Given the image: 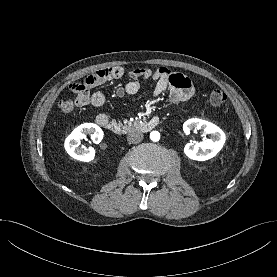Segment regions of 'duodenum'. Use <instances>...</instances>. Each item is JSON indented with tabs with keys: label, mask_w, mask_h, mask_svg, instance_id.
<instances>
[{
	"label": "duodenum",
	"mask_w": 277,
	"mask_h": 277,
	"mask_svg": "<svg viewBox=\"0 0 277 277\" xmlns=\"http://www.w3.org/2000/svg\"><path fill=\"white\" fill-rule=\"evenodd\" d=\"M98 124L101 127L105 128L117 135L124 134L127 130L120 123L110 120L109 118L99 120ZM158 124H159V119L157 117H153L150 120L141 124L140 128L142 131L148 132V131L152 130L153 128H155Z\"/></svg>",
	"instance_id": "duodenum-1"
}]
</instances>
